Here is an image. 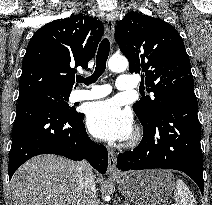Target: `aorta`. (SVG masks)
Here are the masks:
<instances>
[{
	"mask_svg": "<svg viewBox=\"0 0 212 205\" xmlns=\"http://www.w3.org/2000/svg\"><path fill=\"white\" fill-rule=\"evenodd\" d=\"M108 68L113 72H123L128 68V60L124 56L113 55L108 61Z\"/></svg>",
	"mask_w": 212,
	"mask_h": 205,
	"instance_id": "762f6f07",
	"label": "aorta"
}]
</instances>
